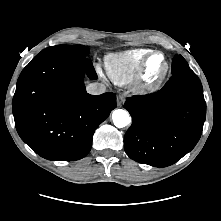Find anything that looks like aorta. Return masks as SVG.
Masks as SVG:
<instances>
[{
  "instance_id": "aorta-1",
  "label": "aorta",
  "mask_w": 221,
  "mask_h": 221,
  "mask_svg": "<svg viewBox=\"0 0 221 221\" xmlns=\"http://www.w3.org/2000/svg\"><path fill=\"white\" fill-rule=\"evenodd\" d=\"M112 120L117 128H123L131 122V117L126 110L116 109L112 113Z\"/></svg>"
}]
</instances>
